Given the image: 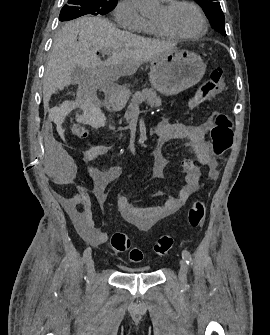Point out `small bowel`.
Segmentation results:
<instances>
[{"instance_id": "c3829d8e", "label": "small bowel", "mask_w": 270, "mask_h": 335, "mask_svg": "<svg viewBox=\"0 0 270 335\" xmlns=\"http://www.w3.org/2000/svg\"><path fill=\"white\" fill-rule=\"evenodd\" d=\"M210 128L209 121L199 125H187L173 123L166 120L156 126L158 136L156 147L153 151L154 168L153 177L161 178L168 165V159L163 155V146L172 140L186 139L191 150L195 153L198 163L190 158L180 162L184 173L185 183L176 196H168L165 202L159 206L139 207L131 204L123 194L117 196V206L122 218L142 232L149 231L154 225L163 219L177 213L188 201L190 196L200 188L201 167L209 169L210 174L218 175L217 162L212 157L209 142L205 136ZM46 134H62L61 121H48L45 128ZM47 158H41L40 164L47 165L44 172L45 178H62L63 184H70L73 178H78L79 163L76 158H67L68 151L56 144L55 138L45 139ZM110 151L107 145H96L83 153V161L93 162L106 156ZM123 173L120 165H114L107 170L97 167L89 169V175L93 181V195L101 209H103L111 185L118 180ZM66 211L75 224L82 237L92 244H104L108 241V234L95 226L92 213V198L86 188L76 187L73 196L63 198Z\"/></svg>"}]
</instances>
